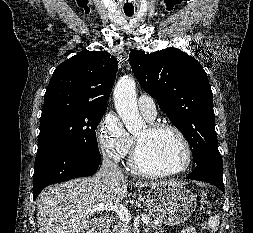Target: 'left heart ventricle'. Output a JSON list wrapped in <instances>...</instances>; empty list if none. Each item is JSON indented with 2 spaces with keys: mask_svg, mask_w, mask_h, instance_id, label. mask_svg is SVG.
<instances>
[{
  "mask_svg": "<svg viewBox=\"0 0 253 233\" xmlns=\"http://www.w3.org/2000/svg\"><path fill=\"white\" fill-rule=\"evenodd\" d=\"M140 142V161L149 170H175L185 160V150L171 131L151 133L146 127L136 135Z\"/></svg>",
  "mask_w": 253,
  "mask_h": 233,
  "instance_id": "b2bd125f",
  "label": "left heart ventricle"
}]
</instances>
